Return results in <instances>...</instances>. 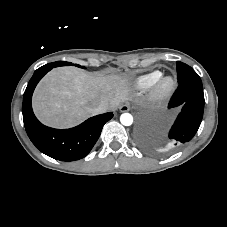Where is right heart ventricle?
I'll return each mask as SVG.
<instances>
[{
	"instance_id": "obj_1",
	"label": "right heart ventricle",
	"mask_w": 227,
	"mask_h": 227,
	"mask_svg": "<svg viewBox=\"0 0 227 227\" xmlns=\"http://www.w3.org/2000/svg\"><path fill=\"white\" fill-rule=\"evenodd\" d=\"M160 76H161L160 71H153L137 77L134 80L133 85L137 89H146L151 87Z\"/></svg>"
}]
</instances>
